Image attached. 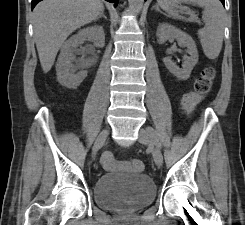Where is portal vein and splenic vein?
<instances>
[{"mask_svg": "<svg viewBox=\"0 0 245 225\" xmlns=\"http://www.w3.org/2000/svg\"><path fill=\"white\" fill-rule=\"evenodd\" d=\"M185 11V13H187V14H189L190 16H191V20H195L196 19V16L193 14V12L192 11H190V10H184Z\"/></svg>", "mask_w": 245, "mask_h": 225, "instance_id": "18ae733b", "label": "portal vein and splenic vein"}]
</instances>
